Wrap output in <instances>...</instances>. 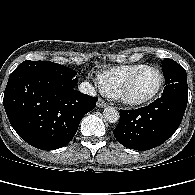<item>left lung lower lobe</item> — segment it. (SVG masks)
Listing matches in <instances>:
<instances>
[{
    "instance_id": "left-lung-lower-lobe-1",
    "label": "left lung lower lobe",
    "mask_w": 195,
    "mask_h": 195,
    "mask_svg": "<svg viewBox=\"0 0 195 195\" xmlns=\"http://www.w3.org/2000/svg\"><path fill=\"white\" fill-rule=\"evenodd\" d=\"M188 102L187 82L166 84L162 96L146 107L120 110L113 133L120 144L145 151L164 143L179 127Z\"/></svg>"
}]
</instances>
